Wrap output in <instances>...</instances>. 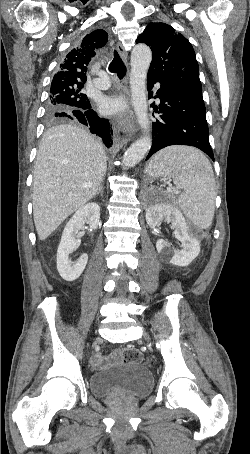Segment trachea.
Masks as SVG:
<instances>
[{"label":"trachea","instance_id":"3493384b","mask_svg":"<svg viewBox=\"0 0 250 454\" xmlns=\"http://www.w3.org/2000/svg\"><path fill=\"white\" fill-rule=\"evenodd\" d=\"M109 71L116 73L120 79H123L126 74V67L117 51H114L113 60L109 65Z\"/></svg>","mask_w":250,"mask_h":454}]
</instances>
